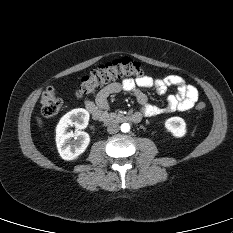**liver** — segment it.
<instances>
[{
    "label": "liver",
    "instance_id": "liver-1",
    "mask_svg": "<svg viewBox=\"0 0 233 233\" xmlns=\"http://www.w3.org/2000/svg\"><path fill=\"white\" fill-rule=\"evenodd\" d=\"M37 121H38L39 126L42 127V124H43V123H42L41 118L37 117Z\"/></svg>",
    "mask_w": 233,
    "mask_h": 233
}]
</instances>
